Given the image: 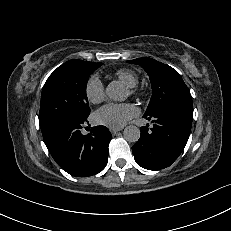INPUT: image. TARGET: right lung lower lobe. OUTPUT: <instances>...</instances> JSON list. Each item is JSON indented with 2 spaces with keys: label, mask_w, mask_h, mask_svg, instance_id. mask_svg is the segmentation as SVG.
<instances>
[{
  "label": "right lung lower lobe",
  "mask_w": 231,
  "mask_h": 231,
  "mask_svg": "<svg viewBox=\"0 0 231 231\" xmlns=\"http://www.w3.org/2000/svg\"><path fill=\"white\" fill-rule=\"evenodd\" d=\"M85 122L87 117L65 119L42 133L56 163L76 177L92 176L105 168L112 138L104 126L92 127L90 133L83 135L81 129Z\"/></svg>",
  "instance_id": "1"
}]
</instances>
